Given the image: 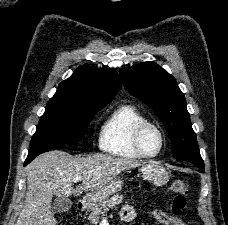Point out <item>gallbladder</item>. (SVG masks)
<instances>
[{
  "label": "gallbladder",
  "instance_id": "gallbladder-1",
  "mask_svg": "<svg viewBox=\"0 0 228 225\" xmlns=\"http://www.w3.org/2000/svg\"><path fill=\"white\" fill-rule=\"evenodd\" d=\"M73 203L67 197H55L53 201L54 213H66L71 209Z\"/></svg>",
  "mask_w": 228,
  "mask_h": 225
}]
</instances>
